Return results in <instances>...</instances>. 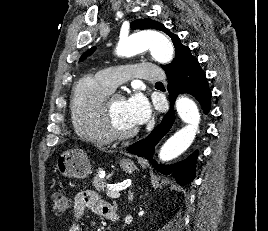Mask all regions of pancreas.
Returning a JSON list of instances; mask_svg holds the SVG:
<instances>
[{
  "label": "pancreas",
  "mask_w": 268,
  "mask_h": 231,
  "mask_svg": "<svg viewBox=\"0 0 268 231\" xmlns=\"http://www.w3.org/2000/svg\"><path fill=\"white\" fill-rule=\"evenodd\" d=\"M100 171L96 173L95 177L93 178L92 184L95 187L97 191H104V189L107 187L106 179L100 178Z\"/></svg>",
  "instance_id": "1"
}]
</instances>
